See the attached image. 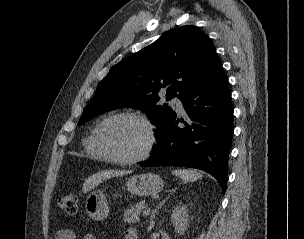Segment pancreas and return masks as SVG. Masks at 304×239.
I'll return each mask as SVG.
<instances>
[{
  "mask_svg": "<svg viewBox=\"0 0 304 239\" xmlns=\"http://www.w3.org/2000/svg\"><path fill=\"white\" fill-rule=\"evenodd\" d=\"M147 206L140 202L137 204H133L130 208L126 209L123 214V220L127 223H135L139 221V215L141 211Z\"/></svg>",
  "mask_w": 304,
  "mask_h": 239,
  "instance_id": "obj_1",
  "label": "pancreas"
}]
</instances>
